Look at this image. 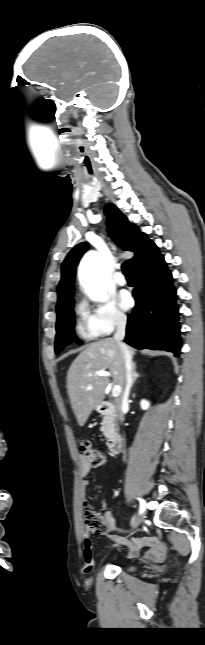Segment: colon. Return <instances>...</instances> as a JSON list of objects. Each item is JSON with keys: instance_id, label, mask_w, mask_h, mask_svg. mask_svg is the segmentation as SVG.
Here are the masks:
<instances>
[{"instance_id": "obj_1", "label": "colon", "mask_w": 205, "mask_h": 645, "mask_svg": "<svg viewBox=\"0 0 205 645\" xmlns=\"http://www.w3.org/2000/svg\"><path fill=\"white\" fill-rule=\"evenodd\" d=\"M79 447L83 458L91 467H100L105 463L104 455L98 449L94 448L90 441L85 439L81 440ZM84 523L87 530L96 535H103L108 529L104 518L89 505L84 512Z\"/></svg>"}]
</instances>
